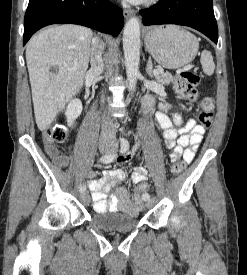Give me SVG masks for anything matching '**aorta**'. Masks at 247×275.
<instances>
[{"label":"aorta","instance_id":"762f6f07","mask_svg":"<svg viewBox=\"0 0 247 275\" xmlns=\"http://www.w3.org/2000/svg\"><path fill=\"white\" fill-rule=\"evenodd\" d=\"M123 50L129 90L135 89L139 75L140 22L136 17L127 21L123 31Z\"/></svg>","mask_w":247,"mask_h":275}]
</instances>
